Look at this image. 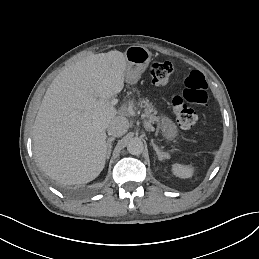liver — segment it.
<instances>
[{"label": "liver", "mask_w": 259, "mask_h": 259, "mask_svg": "<svg viewBox=\"0 0 259 259\" xmlns=\"http://www.w3.org/2000/svg\"><path fill=\"white\" fill-rule=\"evenodd\" d=\"M123 53L91 54L52 81L33 126V152L43 171L68 185L87 183L103 170L106 128L117 114L111 99L124 87Z\"/></svg>", "instance_id": "1"}]
</instances>
